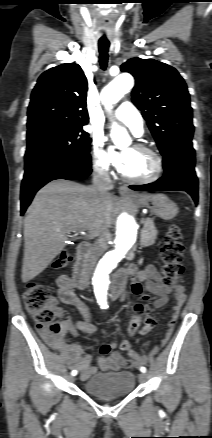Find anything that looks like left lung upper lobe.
<instances>
[{"label": "left lung upper lobe", "instance_id": "obj_1", "mask_svg": "<svg viewBox=\"0 0 212 438\" xmlns=\"http://www.w3.org/2000/svg\"><path fill=\"white\" fill-rule=\"evenodd\" d=\"M121 70L133 74V103L142 111L162 155L191 142L194 132L187 86L177 70L154 59L132 58Z\"/></svg>", "mask_w": 212, "mask_h": 438}]
</instances>
